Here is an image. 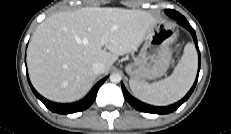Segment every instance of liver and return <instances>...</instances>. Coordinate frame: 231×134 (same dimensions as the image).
Returning a JSON list of instances; mask_svg holds the SVG:
<instances>
[{"mask_svg": "<svg viewBox=\"0 0 231 134\" xmlns=\"http://www.w3.org/2000/svg\"><path fill=\"white\" fill-rule=\"evenodd\" d=\"M155 23L146 11L123 8L84 7L52 14L29 44L31 82L51 101H76L96 79L95 62L108 71L118 56L137 50Z\"/></svg>", "mask_w": 231, "mask_h": 134, "instance_id": "6515ba94", "label": "liver"}]
</instances>
